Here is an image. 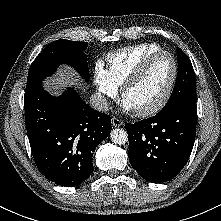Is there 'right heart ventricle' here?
<instances>
[{
	"mask_svg": "<svg viewBox=\"0 0 221 221\" xmlns=\"http://www.w3.org/2000/svg\"><path fill=\"white\" fill-rule=\"evenodd\" d=\"M160 50V46L154 43L135 44L117 50L105 57L106 70L116 86H120L146 56Z\"/></svg>",
	"mask_w": 221,
	"mask_h": 221,
	"instance_id": "right-heart-ventricle-1",
	"label": "right heart ventricle"
}]
</instances>
